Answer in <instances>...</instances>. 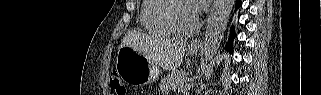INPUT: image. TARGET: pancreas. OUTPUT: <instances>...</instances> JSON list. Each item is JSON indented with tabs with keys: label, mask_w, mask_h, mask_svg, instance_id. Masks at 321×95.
<instances>
[{
	"label": "pancreas",
	"mask_w": 321,
	"mask_h": 95,
	"mask_svg": "<svg viewBox=\"0 0 321 95\" xmlns=\"http://www.w3.org/2000/svg\"><path fill=\"white\" fill-rule=\"evenodd\" d=\"M188 81L189 78L187 77L186 72L173 71L161 80L160 89L162 91H166L180 88H188L190 87V84H186Z\"/></svg>",
	"instance_id": "pancreas-1"
}]
</instances>
